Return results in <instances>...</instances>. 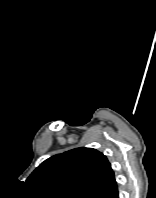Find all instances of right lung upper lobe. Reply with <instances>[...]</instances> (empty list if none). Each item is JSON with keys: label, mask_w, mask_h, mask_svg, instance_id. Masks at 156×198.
I'll list each match as a JSON object with an SVG mask.
<instances>
[{"label": "right lung upper lobe", "mask_w": 156, "mask_h": 198, "mask_svg": "<svg viewBox=\"0 0 156 198\" xmlns=\"http://www.w3.org/2000/svg\"><path fill=\"white\" fill-rule=\"evenodd\" d=\"M27 182L45 198H118L109 161L92 148H77L48 158Z\"/></svg>", "instance_id": "obj_1"}]
</instances>
